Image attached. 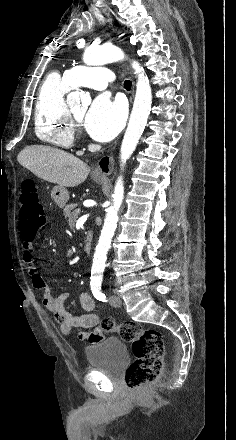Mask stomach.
I'll return each instance as SVG.
<instances>
[{
    "label": "stomach",
    "mask_w": 236,
    "mask_h": 440,
    "mask_svg": "<svg viewBox=\"0 0 236 440\" xmlns=\"http://www.w3.org/2000/svg\"><path fill=\"white\" fill-rule=\"evenodd\" d=\"M93 179L98 183H102L105 177L94 176ZM51 197L58 207L63 208L69 199V193L65 187L56 186L51 192Z\"/></svg>",
    "instance_id": "stomach-1"
}]
</instances>
